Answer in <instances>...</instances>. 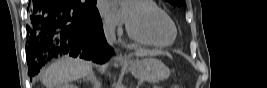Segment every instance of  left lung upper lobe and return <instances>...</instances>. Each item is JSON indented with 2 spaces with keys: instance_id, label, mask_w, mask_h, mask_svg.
<instances>
[{
  "instance_id": "left-lung-upper-lobe-1",
  "label": "left lung upper lobe",
  "mask_w": 267,
  "mask_h": 88,
  "mask_svg": "<svg viewBox=\"0 0 267 88\" xmlns=\"http://www.w3.org/2000/svg\"><path fill=\"white\" fill-rule=\"evenodd\" d=\"M171 4L180 7L183 4V0H167Z\"/></svg>"
}]
</instances>
